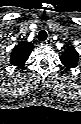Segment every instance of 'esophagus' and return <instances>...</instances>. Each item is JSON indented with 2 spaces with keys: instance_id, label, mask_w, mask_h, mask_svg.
Listing matches in <instances>:
<instances>
[{
  "instance_id": "esophagus-1",
  "label": "esophagus",
  "mask_w": 81,
  "mask_h": 124,
  "mask_svg": "<svg viewBox=\"0 0 81 124\" xmlns=\"http://www.w3.org/2000/svg\"><path fill=\"white\" fill-rule=\"evenodd\" d=\"M52 44V39L48 38L45 41L41 42V45H45V46H50Z\"/></svg>"
}]
</instances>
